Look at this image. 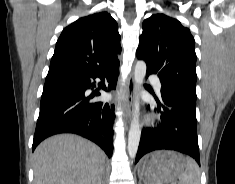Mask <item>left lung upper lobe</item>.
<instances>
[{
    "instance_id": "left-lung-upper-lobe-1",
    "label": "left lung upper lobe",
    "mask_w": 235,
    "mask_h": 184,
    "mask_svg": "<svg viewBox=\"0 0 235 184\" xmlns=\"http://www.w3.org/2000/svg\"><path fill=\"white\" fill-rule=\"evenodd\" d=\"M136 55L157 74L166 90L177 91L196 103L195 40L190 30L164 14L144 20Z\"/></svg>"
}]
</instances>
